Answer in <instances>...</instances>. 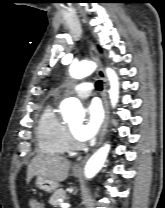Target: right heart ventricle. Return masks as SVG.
I'll return each instance as SVG.
<instances>
[{
  "mask_svg": "<svg viewBox=\"0 0 165 208\" xmlns=\"http://www.w3.org/2000/svg\"><path fill=\"white\" fill-rule=\"evenodd\" d=\"M36 138L41 152L50 155L68 153L66 126L58 116L54 105H47L37 122Z\"/></svg>",
  "mask_w": 165,
  "mask_h": 208,
  "instance_id": "e07e8e85",
  "label": "right heart ventricle"
}]
</instances>
